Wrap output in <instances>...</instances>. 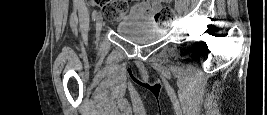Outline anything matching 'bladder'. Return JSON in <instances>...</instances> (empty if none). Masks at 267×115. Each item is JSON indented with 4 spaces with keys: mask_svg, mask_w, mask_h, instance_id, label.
I'll list each match as a JSON object with an SVG mask.
<instances>
[{
    "mask_svg": "<svg viewBox=\"0 0 267 115\" xmlns=\"http://www.w3.org/2000/svg\"><path fill=\"white\" fill-rule=\"evenodd\" d=\"M116 33L129 41L146 42L162 38L166 31L153 23H123L116 27Z\"/></svg>",
    "mask_w": 267,
    "mask_h": 115,
    "instance_id": "obj_1",
    "label": "bladder"
}]
</instances>
